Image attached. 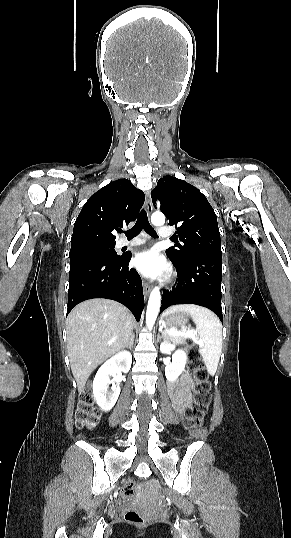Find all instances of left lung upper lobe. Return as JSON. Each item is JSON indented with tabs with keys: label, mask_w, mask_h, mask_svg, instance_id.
I'll list each match as a JSON object with an SVG mask.
<instances>
[{
	"label": "left lung upper lobe",
	"mask_w": 291,
	"mask_h": 538,
	"mask_svg": "<svg viewBox=\"0 0 291 538\" xmlns=\"http://www.w3.org/2000/svg\"><path fill=\"white\" fill-rule=\"evenodd\" d=\"M153 204L160 201V210L169 225L177 227L182 244L166 250L174 263H181L198 253L221 254L220 232L216 214L207 198L193 185L167 175L151 192Z\"/></svg>",
	"instance_id": "1"
}]
</instances>
